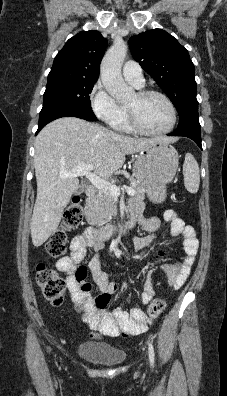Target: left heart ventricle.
Instances as JSON below:
<instances>
[{"instance_id": "left-heart-ventricle-1", "label": "left heart ventricle", "mask_w": 227, "mask_h": 396, "mask_svg": "<svg viewBox=\"0 0 227 396\" xmlns=\"http://www.w3.org/2000/svg\"><path fill=\"white\" fill-rule=\"evenodd\" d=\"M127 106L135 110L139 121L148 130L160 131L170 124L169 107L159 96L139 97L135 94Z\"/></svg>"}]
</instances>
